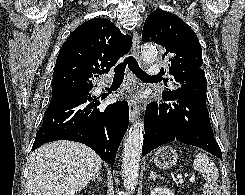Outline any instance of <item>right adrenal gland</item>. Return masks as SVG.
<instances>
[{"label": "right adrenal gland", "instance_id": "right-adrenal-gland-1", "mask_svg": "<svg viewBox=\"0 0 245 195\" xmlns=\"http://www.w3.org/2000/svg\"><path fill=\"white\" fill-rule=\"evenodd\" d=\"M96 179L101 181L100 172H98L91 180L95 181Z\"/></svg>", "mask_w": 245, "mask_h": 195}]
</instances>
